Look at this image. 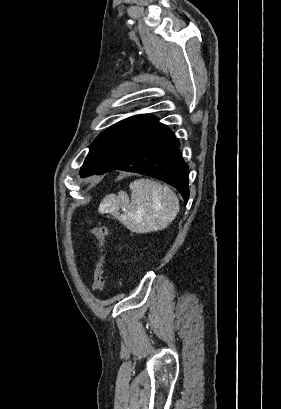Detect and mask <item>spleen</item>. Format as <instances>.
<instances>
[{
	"label": "spleen",
	"instance_id": "3e777b00",
	"mask_svg": "<svg viewBox=\"0 0 281 409\" xmlns=\"http://www.w3.org/2000/svg\"><path fill=\"white\" fill-rule=\"evenodd\" d=\"M131 200L125 190L107 194L100 202L99 213H110L132 233L164 231L180 211L178 196L166 186L150 178L130 182ZM123 209V215L119 211Z\"/></svg>",
	"mask_w": 281,
	"mask_h": 409
}]
</instances>
